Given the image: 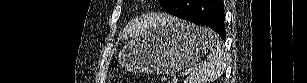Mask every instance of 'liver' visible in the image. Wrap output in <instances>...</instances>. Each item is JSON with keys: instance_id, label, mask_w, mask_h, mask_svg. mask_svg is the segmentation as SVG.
<instances>
[{"instance_id": "obj_1", "label": "liver", "mask_w": 307, "mask_h": 83, "mask_svg": "<svg viewBox=\"0 0 307 83\" xmlns=\"http://www.w3.org/2000/svg\"><path fill=\"white\" fill-rule=\"evenodd\" d=\"M169 19H173V17H170V16H168V17H163V21L164 20H169ZM159 21V22H161L162 20H159V19H152L151 21L153 22V21ZM141 27H142V24H140L139 22H135V23H133V24H131V25H129V26H127L126 28H125V30L123 31V34H122V37L123 38H127L128 36H131V37H136V36H138V34H139V31H140V29H141Z\"/></svg>"}]
</instances>
